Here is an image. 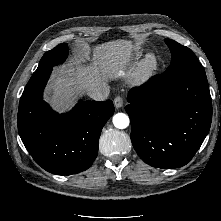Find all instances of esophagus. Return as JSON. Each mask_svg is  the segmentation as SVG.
Returning <instances> with one entry per match:
<instances>
[{
  "label": "esophagus",
  "mask_w": 221,
  "mask_h": 221,
  "mask_svg": "<svg viewBox=\"0 0 221 221\" xmlns=\"http://www.w3.org/2000/svg\"><path fill=\"white\" fill-rule=\"evenodd\" d=\"M114 106L116 108H120L123 106V99L121 96H117L115 99H114Z\"/></svg>",
  "instance_id": "esophagus-1"
}]
</instances>
